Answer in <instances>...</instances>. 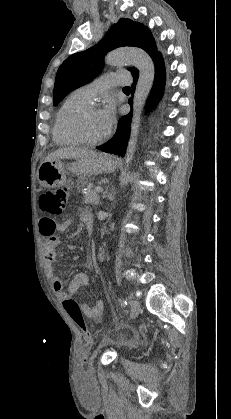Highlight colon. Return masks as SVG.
Masks as SVG:
<instances>
[{
  "instance_id": "1",
  "label": "colon",
  "mask_w": 231,
  "mask_h": 419,
  "mask_svg": "<svg viewBox=\"0 0 231 419\" xmlns=\"http://www.w3.org/2000/svg\"><path fill=\"white\" fill-rule=\"evenodd\" d=\"M67 197L68 193L66 188L60 187L48 190L40 198V207L43 211L51 215H61L67 205ZM63 306L66 312L81 329L86 343L90 344L92 340L91 333L85 325L78 304L72 298H68L63 302Z\"/></svg>"
}]
</instances>
